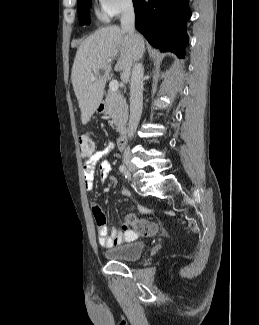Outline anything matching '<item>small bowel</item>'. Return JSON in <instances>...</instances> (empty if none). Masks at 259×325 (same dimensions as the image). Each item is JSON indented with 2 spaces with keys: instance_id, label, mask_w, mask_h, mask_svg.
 Wrapping results in <instances>:
<instances>
[{
  "instance_id": "1",
  "label": "small bowel",
  "mask_w": 259,
  "mask_h": 325,
  "mask_svg": "<svg viewBox=\"0 0 259 325\" xmlns=\"http://www.w3.org/2000/svg\"><path fill=\"white\" fill-rule=\"evenodd\" d=\"M111 149L112 146H109L103 150L96 151L84 162L83 176L86 190L91 191L94 188L97 166L99 169L100 180L105 182L109 178L112 172V166L109 161L104 159V157ZM118 194L123 197H131V193L127 189H121ZM91 213L96 224L98 241L101 246L110 248L137 237V233L129 228L127 222L123 224L122 230L115 227L108 229L106 217L99 205L92 204Z\"/></svg>"
}]
</instances>
